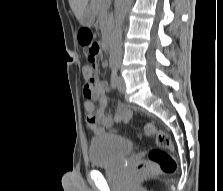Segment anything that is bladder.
<instances>
[{"label":"bladder","instance_id":"1","mask_svg":"<svg viewBox=\"0 0 223 191\" xmlns=\"http://www.w3.org/2000/svg\"><path fill=\"white\" fill-rule=\"evenodd\" d=\"M133 151V143L119 135L104 134L91 139L88 156L91 167L119 164Z\"/></svg>","mask_w":223,"mask_h":191}]
</instances>
